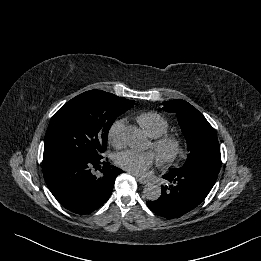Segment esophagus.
<instances>
[{
    "instance_id": "obj_1",
    "label": "esophagus",
    "mask_w": 261,
    "mask_h": 261,
    "mask_svg": "<svg viewBox=\"0 0 261 261\" xmlns=\"http://www.w3.org/2000/svg\"><path fill=\"white\" fill-rule=\"evenodd\" d=\"M137 181L141 184H147L149 181L146 178L136 177Z\"/></svg>"
}]
</instances>
